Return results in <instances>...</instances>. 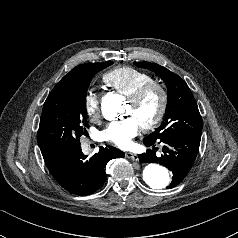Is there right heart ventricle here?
I'll list each match as a JSON object with an SVG mask.
<instances>
[{
    "mask_svg": "<svg viewBox=\"0 0 238 238\" xmlns=\"http://www.w3.org/2000/svg\"><path fill=\"white\" fill-rule=\"evenodd\" d=\"M101 80L107 87L130 97L142 85L152 81V77L133 67L121 66L107 71Z\"/></svg>",
    "mask_w": 238,
    "mask_h": 238,
    "instance_id": "1",
    "label": "right heart ventricle"
}]
</instances>
